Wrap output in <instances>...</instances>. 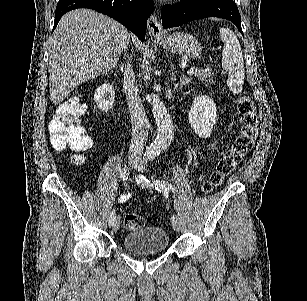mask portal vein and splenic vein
<instances>
[{
	"label": "portal vein and splenic vein",
	"instance_id": "obj_1",
	"mask_svg": "<svg viewBox=\"0 0 307 301\" xmlns=\"http://www.w3.org/2000/svg\"><path fill=\"white\" fill-rule=\"evenodd\" d=\"M199 68L197 66H194V68H190V70H187V74H194V72H197Z\"/></svg>",
	"mask_w": 307,
	"mask_h": 301
}]
</instances>
